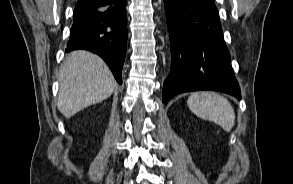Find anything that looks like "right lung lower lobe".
Listing matches in <instances>:
<instances>
[{"label": "right lung lower lobe", "mask_w": 293, "mask_h": 184, "mask_svg": "<svg viewBox=\"0 0 293 184\" xmlns=\"http://www.w3.org/2000/svg\"><path fill=\"white\" fill-rule=\"evenodd\" d=\"M108 6L76 5L66 52L85 49L98 54L122 83L127 46V0H110Z\"/></svg>", "instance_id": "right-lung-lower-lobe-1"}]
</instances>
